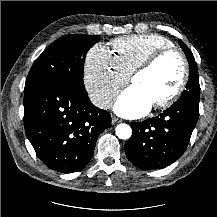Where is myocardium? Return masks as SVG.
Returning a JSON list of instances; mask_svg holds the SVG:
<instances>
[{"label": "myocardium", "instance_id": "myocardium-1", "mask_svg": "<svg viewBox=\"0 0 217 217\" xmlns=\"http://www.w3.org/2000/svg\"><path fill=\"white\" fill-rule=\"evenodd\" d=\"M171 55L176 56L180 61L181 64L180 80L176 89L169 96L154 103L155 108H165L172 105L184 93L189 79V64L185 55L176 48L173 47L164 48L154 53L146 61H144L139 66H137L130 74L129 81L132 83L133 79L137 75L149 71L150 69L155 67L162 59Z\"/></svg>", "mask_w": 217, "mask_h": 217}]
</instances>
